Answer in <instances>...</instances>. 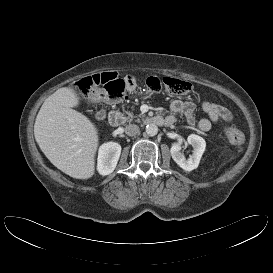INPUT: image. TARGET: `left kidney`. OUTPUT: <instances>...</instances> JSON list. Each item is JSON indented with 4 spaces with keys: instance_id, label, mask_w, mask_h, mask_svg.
Wrapping results in <instances>:
<instances>
[{
    "instance_id": "left-kidney-1",
    "label": "left kidney",
    "mask_w": 273,
    "mask_h": 273,
    "mask_svg": "<svg viewBox=\"0 0 273 273\" xmlns=\"http://www.w3.org/2000/svg\"><path fill=\"white\" fill-rule=\"evenodd\" d=\"M187 141L193 147V154L186 159L181 153V146L179 143H173L170 149L172 159L185 171H192L199 165L201 157L206 148L205 140L195 134L188 136Z\"/></svg>"
}]
</instances>
